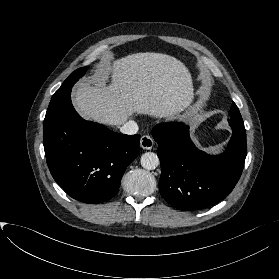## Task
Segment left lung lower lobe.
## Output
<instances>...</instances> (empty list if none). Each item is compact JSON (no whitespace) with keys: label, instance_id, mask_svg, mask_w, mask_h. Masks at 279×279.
I'll list each match as a JSON object with an SVG mask.
<instances>
[{"label":"left lung lower lobe","instance_id":"obj_1","mask_svg":"<svg viewBox=\"0 0 279 279\" xmlns=\"http://www.w3.org/2000/svg\"><path fill=\"white\" fill-rule=\"evenodd\" d=\"M233 134L226 151L207 155L192 143L189 126L160 123L152 129L161 163L159 190L180 210H203L224 199L238 182L247 154L243 126L229 123Z\"/></svg>","mask_w":279,"mask_h":279}]
</instances>
